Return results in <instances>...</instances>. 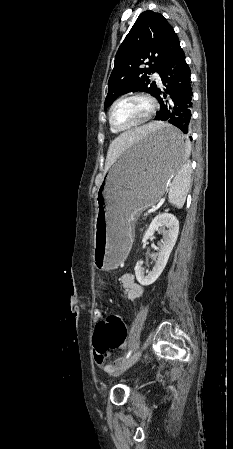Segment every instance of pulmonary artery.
Here are the masks:
<instances>
[{"instance_id": "1", "label": "pulmonary artery", "mask_w": 233, "mask_h": 449, "mask_svg": "<svg viewBox=\"0 0 233 449\" xmlns=\"http://www.w3.org/2000/svg\"><path fill=\"white\" fill-rule=\"evenodd\" d=\"M153 77L156 79L158 85L161 86V85H162V82H161L160 76H159L157 73H155V74L153 75Z\"/></svg>"}]
</instances>
